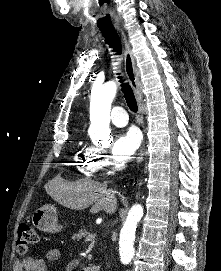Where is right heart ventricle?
I'll list each match as a JSON object with an SVG mask.
<instances>
[{
  "mask_svg": "<svg viewBox=\"0 0 221 271\" xmlns=\"http://www.w3.org/2000/svg\"><path fill=\"white\" fill-rule=\"evenodd\" d=\"M73 163H88V158H73ZM86 167L89 169L91 166L88 164Z\"/></svg>",
  "mask_w": 221,
  "mask_h": 271,
  "instance_id": "1",
  "label": "right heart ventricle"
}]
</instances>
